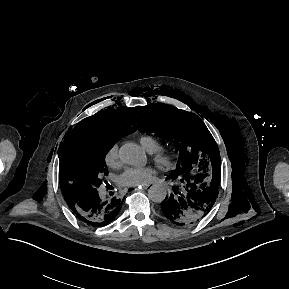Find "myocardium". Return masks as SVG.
<instances>
[{
    "label": "myocardium",
    "instance_id": "1",
    "mask_svg": "<svg viewBox=\"0 0 289 289\" xmlns=\"http://www.w3.org/2000/svg\"><path fill=\"white\" fill-rule=\"evenodd\" d=\"M152 161L163 170H172L177 164V155L171 150H158L151 153Z\"/></svg>",
    "mask_w": 289,
    "mask_h": 289
}]
</instances>
